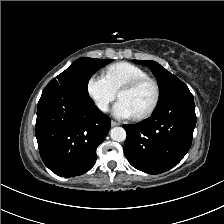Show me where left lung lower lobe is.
Instances as JSON below:
<instances>
[{"mask_svg":"<svg viewBox=\"0 0 224 224\" xmlns=\"http://www.w3.org/2000/svg\"><path fill=\"white\" fill-rule=\"evenodd\" d=\"M195 124L193 95L181 94L156 107L153 114L142 122L123 125L127 132L126 158L140 171L163 173L179 163L190 149Z\"/></svg>","mask_w":224,"mask_h":224,"instance_id":"left-lung-lower-lobe-1","label":"left lung lower lobe"}]
</instances>
